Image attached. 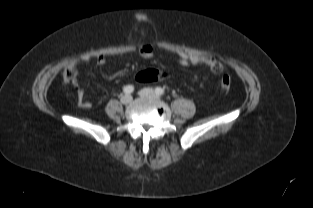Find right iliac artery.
I'll list each match as a JSON object with an SVG mask.
<instances>
[{"instance_id":"right-iliac-artery-1","label":"right iliac artery","mask_w":313,"mask_h":208,"mask_svg":"<svg viewBox=\"0 0 313 208\" xmlns=\"http://www.w3.org/2000/svg\"><path fill=\"white\" fill-rule=\"evenodd\" d=\"M134 91V87L132 85L125 86L123 92L125 94H131Z\"/></svg>"}]
</instances>
